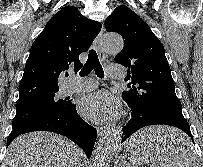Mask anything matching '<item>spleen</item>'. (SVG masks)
<instances>
[{
    "instance_id": "obj_1",
    "label": "spleen",
    "mask_w": 203,
    "mask_h": 167,
    "mask_svg": "<svg viewBox=\"0 0 203 167\" xmlns=\"http://www.w3.org/2000/svg\"><path fill=\"white\" fill-rule=\"evenodd\" d=\"M184 141L187 142L186 137H178L174 143L170 139H167L164 142L161 141L160 143L162 144L156 148L136 149L134 151V167H138V165L149 161L152 162L151 167H196L197 159L192 148L190 147L185 150L184 148L177 147L180 142L182 143ZM141 142L143 141L139 143ZM166 147H173L176 150L175 153L168 155L165 151Z\"/></svg>"
}]
</instances>
